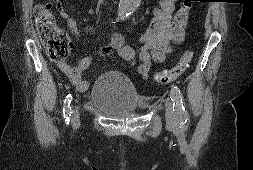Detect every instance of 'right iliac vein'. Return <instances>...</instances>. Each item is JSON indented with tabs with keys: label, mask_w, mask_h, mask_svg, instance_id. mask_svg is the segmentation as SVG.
Masks as SVG:
<instances>
[{
	"label": "right iliac vein",
	"mask_w": 253,
	"mask_h": 170,
	"mask_svg": "<svg viewBox=\"0 0 253 170\" xmlns=\"http://www.w3.org/2000/svg\"><path fill=\"white\" fill-rule=\"evenodd\" d=\"M73 121H74V123H78V121H79V109H78V107H76V109H75Z\"/></svg>",
	"instance_id": "right-iliac-vein-1"
}]
</instances>
